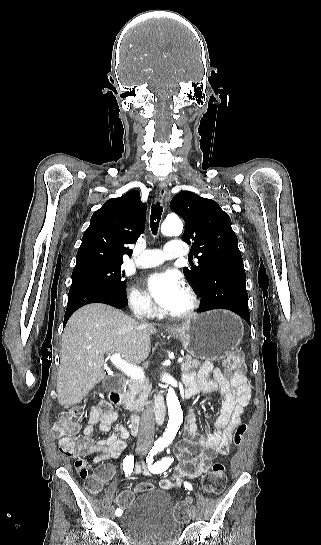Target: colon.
I'll return each instance as SVG.
<instances>
[{
    "instance_id": "obj_1",
    "label": "colon",
    "mask_w": 321,
    "mask_h": 545,
    "mask_svg": "<svg viewBox=\"0 0 321 545\" xmlns=\"http://www.w3.org/2000/svg\"><path fill=\"white\" fill-rule=\"evenodd\" d=\"M223 367L224 371L231 378H240L244 376L245 366L241 358L238 356H231L225 359ZM83 415V410L80 408H73L59 414L57 421L53 426L52 433L58 439L59 450L63 454L72 455L77 450L81 440L78 433L80 431V422ZM245 431L246 425L243 423H239L234 427L232 436L236 445L241 443ZM75 467L80 477L84 480L86 489L92 494L99 493L103 485L101 477L98 474H88L86 465L81 460L75 463ZM226 481L227 477L224 465L221 463H216L204 476L202 486L206 493L218 495L223 491ZM149 489H153V486L147 482L141 483L137 486L138 492H143ZM133 499V492H122L116 499L118 509L121 511L124 510L132 503ZM174 514L178 521L186 522L189 518L188 501L185 500L179 502L175 507Z\"/></svg>"
}]
</instances>
